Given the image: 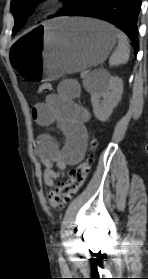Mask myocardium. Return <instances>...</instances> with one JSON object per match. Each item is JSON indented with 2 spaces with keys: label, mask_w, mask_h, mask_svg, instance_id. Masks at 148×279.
I'll return each instance as SVG.
<instances>
[{
  "label": "myocardium",
  "mask_w": 148,
  "mask_h": 279,
  "mask_svg": "<svg viewBox=\"0 0 148 279\" xmlns=\"http://www.w3.org/2000/svg\"><path fill=\"white\" fill-rule=\"evenodd\" d=\"M44 6H45V7H48V6H50V5H49V3L45 2V3H44Z\"/></svg>",
  "instance_id": "f54148a6"
}]
</instances>
